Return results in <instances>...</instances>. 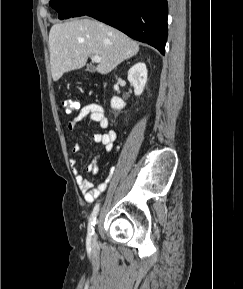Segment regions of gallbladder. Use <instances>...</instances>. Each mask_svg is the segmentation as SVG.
Returning <instances> with one entry per match:
<instances>
[{
    "label": "gallbladder",
    "instance_id": "1",
    "mask_svg": "<svg viewBox=\"0 0 243 289\" xmlns=\"http://www.w3.org/2000/svg\"><path fill=\"white\" fill-rule=\"evenodd\" d=\"M86 71L93 72V71H94V67L91 66V65H88V66L86 67Z\"/></svg>",
    "mask_w": 243,
    "mask_h": 289
}]
</instances>
